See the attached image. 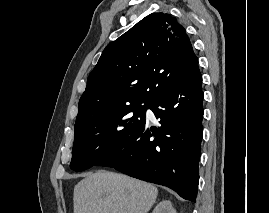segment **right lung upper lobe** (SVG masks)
I'll use <instances>...</instances> for the list:
<instances>
[{
    "label": "right lung upper lobe",
    "instance_id": "1",
    "mask_svg": "<svg viewBox=\"0 0 270 213\" xmlns=\"http://www.w3.org/2000/svg\"><path fill=\"white\" fill-rule=\"evenodd\" d=\"M198 59L185 29L152 13L106 46L79 100L76 123L132 103L152 104L184 80Z\"/></svg>",
    "mask_w": 270,
    "mask_h": 213
}]
</instances>
